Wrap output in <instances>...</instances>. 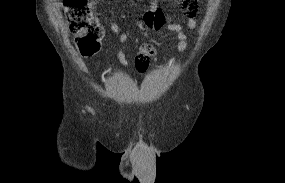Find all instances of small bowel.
I'll return each mask as SVG.
<instances>
[{
  "label": "small bowel",
  "instance_id": "obj_1",
  "mask_svg": "<svg viewBox=\"0 0 285 183\" xmlns=\"http://www.w3.org/2000/svg\"><path fill=\"white\" fill-rule=\"evenodd\" d=\"M182 4L185 9L184 23L189 30H194L197 26L196 20V7L193 0H182ZM92 8L94 7V2H91ZM145 25L149 29L160 30L164 27V15L159 11L157 1L152 5L151 9L144 16ZM185 26L180 23H168L166 28L176 35L178 40L177 48L180 52H183L187 47V33ZM111 30L113 33L119 36V41L121 44H125L128 41V34L121 32L118 24L112 22ZM156 56V48L150 43H142L139 48V53L136 56V64L145 63L147 66L150 61H152ZM118 59L123 65L128 64L125 53L122 50L118 52Z\"/></svg>",
  "mask_w": 285,
  "mask_h": 183
}]
</instances>
